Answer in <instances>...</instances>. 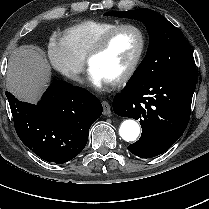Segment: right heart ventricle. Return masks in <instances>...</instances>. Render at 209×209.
<instances>
[{
    "label": "right heart ventricle",
    "mask_w": 209,
    "mask_h": 209,
    "mask_svg": "<svg viewBox=\"0 0 209 209\" xmlns=\"http://www.w3.org/2000/svg\"><path fill=\"white\" fill-rule=\"evenodd\" d=\"M119 25L109 20L88 19L72 24L63 30L71 50L81 59H85L96 41L109 29Z\"/></svg>",
    "instance_id": "e07e8e85"
}]
</instances>
